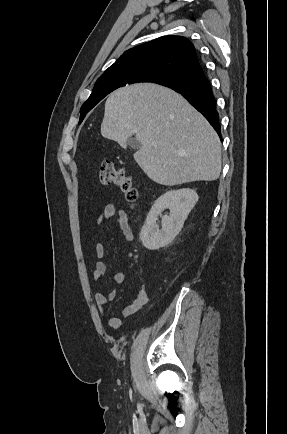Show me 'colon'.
Wrapping results in <instances>:
<instances>
[{"mask_svg":"<svg viewBox=\"0 0 287 434\" xmlns=\"http://www.w3.org/2000/svg\"><path fill=\"white\" fill-rule=\"evenodd\" d=\"M100 181L105 185L118 188L129 203H135L139 196V187L124 170L118 169L110 161L103 162L99 169Z\"/></svg>","mask_w":287,"mask_h":434,"instance_id":"5ec220e1","label":"colon"}]
</instances>
